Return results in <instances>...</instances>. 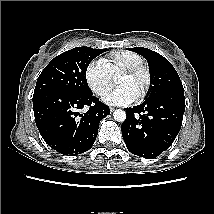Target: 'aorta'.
<instances>
[{"label":"aorta","mask_w":214,"mask_h":214,"mask_svg":"<svg viewBox=\"0 0 214 214\" xmlns=\"http://www.w3.org/2000/svg\"><path fill=\"white\" fill-rule=\"evenodd\" d=\"M113 117L117 122H124L126 119V112L121 109H117L113 113Z\"/></svg>","instance_id":"obj_1"}]
</instances>
